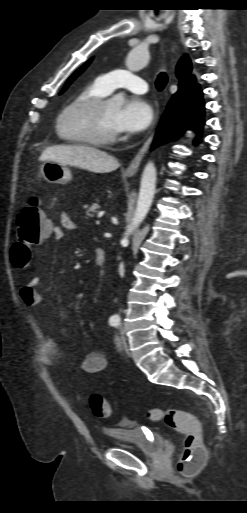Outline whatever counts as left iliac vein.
Returning a JSON list of instances; mask_svg holds the SVG:
<instances>
[{
    "label": "left iliac vein",
    "instance_id": "4c4485c4",
    "mask_svg": "<svg viewBox=\"0 0 247 513\" xmlns=\"http://www.w3.org/2000/svg\"><path fill=\"white\" fill-rule=\"evenodd\" d=\"M121 334H122V337H121L122 344H123V346H124V348H125L126 352L129 354V349H128V345H127V339H126V337H125V335H124V331H122V333H121Z\"/></svg>",
    "mask_w": 247,
    "mask_h": 513
}]
</instances>
